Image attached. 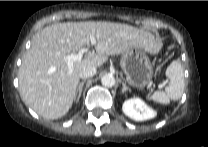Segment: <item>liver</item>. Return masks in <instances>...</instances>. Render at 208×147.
<instances>
[{"label": "liver", "mask_w": 208, "mask_h": 147, "mask_svg": "<svg viewBox=\"0 0 208 147\" xmlns=\"http://www.w3.org/2000/svg\"><path fill=\"white\" fill-rule=\"evenodd\" d=\"M96 39L95 50L75 61L71 69L65 56L78 52ZM133 47L155 53L161 43L144 30L113 22H66L45 27L35 35L19 68V91L24 103L46 119L66 115L86 66H102L110 55H120Z\"/></svg>", "instance_id": "liver-1"}]
</instances>
